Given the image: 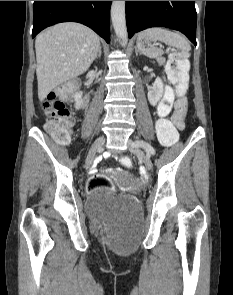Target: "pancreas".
<instances>
[{
	"label": "pancreas",
	"instance_id": "obj_1",
	"mask_svg": "<svg viewBox=\"0 0 233 295\" xmlns=\"http://www.w3.org/2000/svg\"><path fill=\"white\" fill-rule=\"evenodd\" d=\"M157 62L159 63V65H163L165 63V58L164 57H158Z\"/></svg>",
	"mask_w": 233,
	"mask_h": 295
}]
</instances>
